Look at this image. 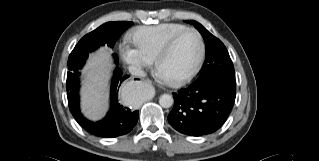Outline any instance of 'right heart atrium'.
Segmentation results:
<instances>
[{
    "instance_id": "1",
    "label": "right heart atrium",
    "mask_w": 319,
    "mask_h": 161,
    "mask_svg": "<svg viewBox=\"0 0 319 161\" xmlns=\"http://www.w3.org/2000/svg\"><path fill=\"white\" fill-rule=\"evenodd\" d=\"M120 51L124 61L128 64L145 67L150 63V61L144 58L135 47L123 45Z\"/></svg>"
}]
</instances>
